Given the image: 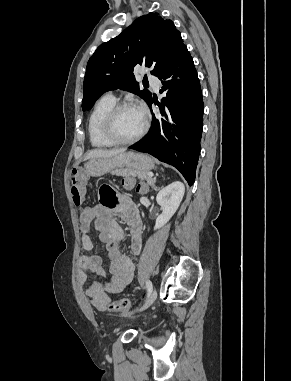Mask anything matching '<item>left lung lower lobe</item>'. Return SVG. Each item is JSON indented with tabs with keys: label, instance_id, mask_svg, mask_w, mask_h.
I'll return each mask as SVG.
<instances>
[{
	"label": "left lung lower lobe",
	"instance_id": "obj_1",
	"mask_svg": "<svg viewBox=\"0 0 291 381\" xmlns=\"http://www.w3.org/2000/svg\"><path fill=\"white\" fill-rule=\"evenodd\" d=\"M158 78L163 84L160 92H166L159 105L162 116L153 114L149 133L129 148L176 167L191 186L200 153L204 108L200 82L187 47ZM152 103L151 99L148 105L151 107Z\"/></svg>",
	"mask_w": 291,
	"mask_h": 381
}]
</instances>
